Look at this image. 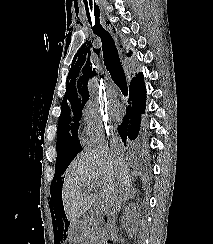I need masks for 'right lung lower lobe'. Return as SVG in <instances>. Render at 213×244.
<instances>
[{
    "mask_svg": "<svg viewBox=\"0 0 213 244\" xmlns=\"http://www.w3.org/2000/svg\"><path fill=\"white\" fill-rule=\"evenodd\" d=\"M129 94L126 115L123 123L118 126V132L127 148L139 152L142 150V145L141 141L136 138L139 134L141 117L145 111L146 102V87L142 72L130 82Z\"/></svg>",
    "mask_w": 213,
    "mask_h": 244,
    "instance_id": "obj_1",
    "label": "right lung lower lobe"
}]
</instances>
